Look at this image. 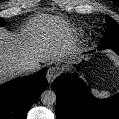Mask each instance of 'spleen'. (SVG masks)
I'll return each instance as SVG.
<instances>
[{
    "instance_id": "obj_1",
    "label": "spleen",
    "mask_w": 119,
    "mask_h": 119,
    "mask_svg": "<svg viewBox=\"0 0 119 119\" xmlns=\"http://www.w3.org/2000/svg\"><path fill=\"white\" fill-rule=\"evenodd\" d=\"M92 93L97 96V97H101V98H108L110 93L108 91H102L99 92L98 90L92 89Z\"/></svg>"
}]
</instances>
